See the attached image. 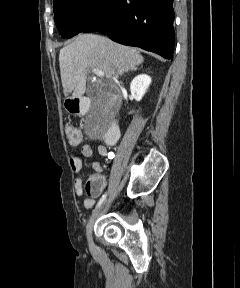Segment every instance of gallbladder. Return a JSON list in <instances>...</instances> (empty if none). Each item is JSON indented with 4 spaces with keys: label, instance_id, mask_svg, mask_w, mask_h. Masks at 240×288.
<instances>
[{
    "label": "gallbladder",
    "instance_id": "bac80fb5",
    "mask_svg": "<svg viewBox=\"0 0 240 288\" xmlns=\"http://www.w3.org/2000/svg\"><path fill=\"white\" fill-rule=\"evenodd\" d=\"M92 98H93L92 110L104 113L106 110V106L102 102H100L96 96Z\"/></svg>",
    "mask_w": 240,
    "mask_h": 288
}]
</instances>
